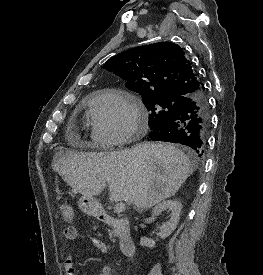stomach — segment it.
Returning a JSON list of instances; mask_svg holds the SVG:
<instances>
[{"label":"stomach","mask_w":263,"mask_h":275,"mask_svg":"<svg viewBox=\"0 0 263 275\" xmlns=\"http://www.w3.org/2000/svg\"><path fill=\"white\" fill-rule=\"evenodd\" d=\"M78 207L82 212L96 218H99L101 213L100 205L94 198L82 196L78 201Z\"/></svg>","instance_id":"1"}]
</instances>
